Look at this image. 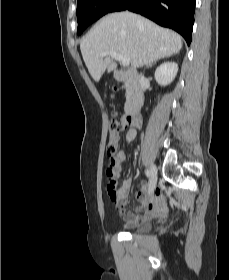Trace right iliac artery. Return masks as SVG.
<instances>
[{
    "mask_svg": "<svg viewBox=\"0 0 229 280\" xmlns=\"http://www.w3.org/2000/svg\"><path fill=\"white\" fill-rule=\"evenodd\" d=\"M145 174L148 178H150L151 172L149 170H145Z\"/></svg>",
    "mask_w": 229,
    "mask_h": 280,
    "instance_id": "82829eb1",
    "label": "right iliac artery"
}]
</instances>
